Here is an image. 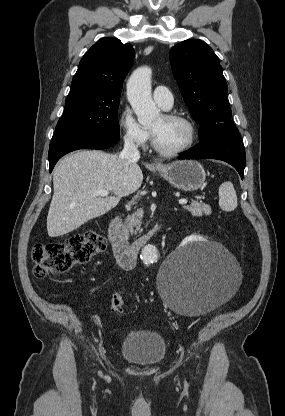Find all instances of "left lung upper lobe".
<instances>
[{"label": "left lung upper lobe", "instance_id": "1", "mask_svg": "<svg viewBox=\"0 0 285 416\" xmlns=\"http://www.w3.org/2000/svg\"><path fill=\"white\" fill-rule=\"evenodd\" d=\"M170 61L190 114L201 125L200 140L238 131L231 121L220 60L211 47L201 40L183 41L170 50Z\"/></svg>", "mask_w": 285, "mask_h": 416}]
</instances>
